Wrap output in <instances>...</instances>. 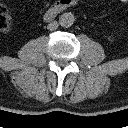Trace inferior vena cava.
Returning <instances> with one entry per match:
<instances>
[{"mask_svg": "<svg viewBox=\"0 0 128 128\" xmlns=\"http://www.w3.org/2000/svg\"><path fill=\"white\" fill-rule=\"evenodd\" d=\"M58 22L57 21H52L47 25V29L50 31H54L58 28Z\"/></svg>", "mask_w": 128, "mask_h": 128, "instance_id": "602c4592", "label": "inferior vena cava"}]
</instances>
